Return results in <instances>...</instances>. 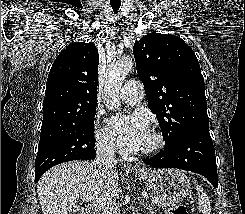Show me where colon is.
<instances>
[{
    "instance_id": "5ec220e1",
    "label": "colon",
    "mask_w": 245,
    "mask_h": 214,
    "mask_svg": "<svg viewBox=\"0 0 245 214\" xmlns=\"http://www.w3.org/2000/svg\"><path fill=\"white\" fill-rule=\"evenodd\" d=\"M169 212L170 214H188L187 208L183 204L170 207Z\"/></svg>"
}]
</instances>
